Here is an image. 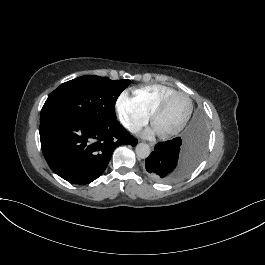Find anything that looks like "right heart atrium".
Masks as SVG:
<instances>
[{
    "mask_svg": "<svg viewBox=\"0 0 265 265\" xmlns=\"http://www.w3.org/2000/svg\"><path fill=\"white\" fill-rule=\"evenodd\" d=\"M118 107L125 119L127 128L136 132L151 118V113L139 100L124 94L120 97Z\"/></svg>",
    "mask_w": 265,
    "mask_h": 265,
    "instance_id": "right-heart-atrium-1",
    "label": "right heart atrium"
}]
</instances>
